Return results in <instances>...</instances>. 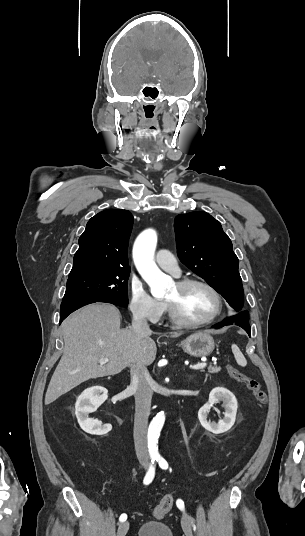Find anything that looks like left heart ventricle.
Returning <instances> with one entry per match:
<instances>
[{
	"label": "left heart ventricle",
	"instance_id": "left-heart-ventricle-1",
	"mask_svg": "<svg viewBox=\"0 0 305 536\" xmlns=\"http://www.w3.org/2000/svg\"><path fill=\"white\" fill-rule=\"evenodd\" d=\"M165 301L177 307L189 321H204L219 310L217 296L207 287L195 285L180 289L176 284L165 297Z\"/></svg>",
	"mask_w": 305,
	"mask_h": 536
}]
</instances>
